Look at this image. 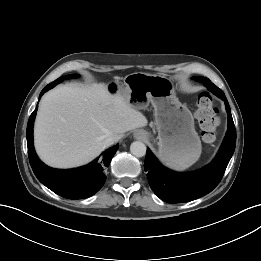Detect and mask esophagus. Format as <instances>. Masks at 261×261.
Listing matches in <instances>:
<instances>
[{"instance_id":"esophagus-1","label":"esophagus","mask_w":261,"mask_h":261,"mask_svg":"<svg viewBox=\"0 0 261 261\" xmlns=\"http://www.w3.org/2000/svg\"><path fill=\"white\" fill-rule=\"evenodd\" d=\"M136 138H144V135L142 133L136 132L135 134Z\"/></svg>"}]
</instances>
